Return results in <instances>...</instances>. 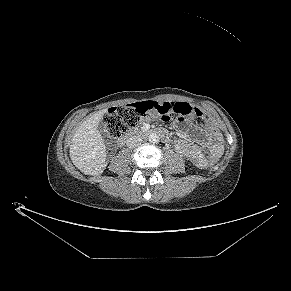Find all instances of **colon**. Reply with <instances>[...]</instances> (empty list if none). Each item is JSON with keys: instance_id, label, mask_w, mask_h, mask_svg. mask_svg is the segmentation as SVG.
<instances>
[{"instance_id": "5ec220e1", "label": "colon", "mask_w": 291, "mask_h": 291, "mask_svg": "<svg viewBox=\"0 0 291 291\" xmlns=\"http://www.w3.org/2000/svg\"><path fill=\"white\" fill-rule=\"evenodd\" d=\"M173 115L201 117L202 112L186 102L145 101L124 107H114L103 117L104 130L111 138H120L135 128L141 121L153 118L169 119ZM217 165V158L211 157L208 166Z\"/></svg>"}]
</instances>
